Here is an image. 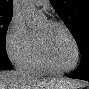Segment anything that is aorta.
Masks as SVG:
<instances>
[{"instance_id":"obj_1","label":"aorta","mask_w":89,"mask_h":89,"mask_svg":"<svg viewBox=\"0 0 89 89\" xmlns=\"http://www.w3.org/2000/svg\"><path fill=\"white\" fill-rule=\"evenodd\" d=\"M22 12L29 28L36 27L45 18L44 14L36 9L33 0L22 1Z\"/></svg>"}]
</instances>
